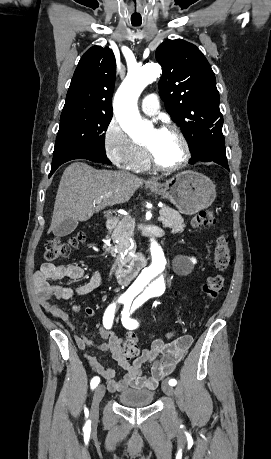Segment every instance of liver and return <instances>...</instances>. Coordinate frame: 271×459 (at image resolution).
<instances>
[{
	"instance_id": "6515ba94",
	"label": "liver",
	"mask_w": 271,
	"mask_h": 459,
	"mask_svg": "<svg viewBox=\"0 0 271 459\" xmlns=\"http://www.w3.org/2000/svg\"><path fill=\"white\" fill-rule=\"evenodd\" d=\"M144 182L129 172L95 170L82 162L71 164L60 180L48 233L66 220L86 222L106 206L125 204Z\"/></svg>"
}]
</instances>
